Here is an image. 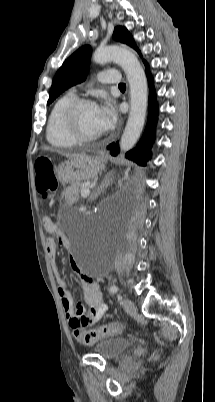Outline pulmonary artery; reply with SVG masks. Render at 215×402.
<instances>
[{
    "label": "pulmonary artery",
    "mask_w": 215,
    "mask_h": 402,
    "mask_svg": "<svg viewBox=\"0 0 215 402\" xmlns=\"http://www.w3.org/2000/svg\"><path fill=\"white\" fill-rule=\"evenodd\" d=\"M98 78L103 83H119L120 75L115 70H106L98 74Z\"/></svg>",
    "instance_id": "1"
}]
</instances>
